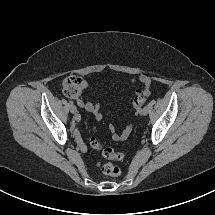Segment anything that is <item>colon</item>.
<instances>
[{
	"label": "colon",
	"mask_w": 215,
	"mask_h": 215,
	"mask_svg": "<svg viewBox=\"0 0 215 215\" xmlns=\"http://www.w3.org/2000/svg\"><path fill=\"white\" fill-rule=\"evenodd\" d=\"M83 83V79L77 75H70L66 77L62 83L64 94L69 98H76L83 90ZM149 95L150 90L148 86H144L143 88L136 91L132 104L137 113L140 111L143 103L146 101ZM90 145L94 149L100 151L103 158L106 160H122L125 157L124 152H119L111 147H106L95 138L90 139ZM97 166L100 168L103 174L108 176L117 177L121 173L120 169L111 162H98Z\"/></svg>",
	"instance_id": "1"
}]
</instances>
